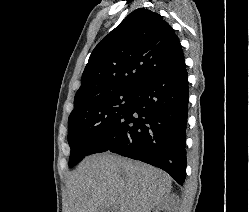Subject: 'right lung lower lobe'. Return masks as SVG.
Masks as SVG:
<instances>
[{
	"label": "right lung lower lobe",
	"instance_id": "1",
	"mask_svg": "<svg viewBox=\"0 0 249 212\" xmlns=\"http://www.w3.org/2000/svg\"><path fill=\"white\" fill-rule=\"evenodd\" d=\"M188 80L185 60L135 91L132 104L92 149L140 160L169 173L180 185L186 175Z\"/></svg>",
	"mask_w": 249,
	"mask_h": 212
}]
</instances>
